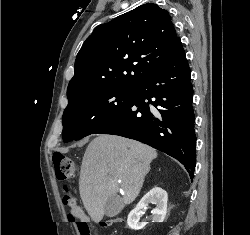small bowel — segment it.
<instances>
[{"mask_svg": "<svg viewBox=\"0 0 250 235\" xmlns=\"http://www.w3.org/2000/svg\"><path fill=\"white\" fill-rule=\"evenodd\" d=\"M71 213L78 218L85 217L83 210L78 205H73L71 207Z\"/></svg>", "mask_w": 250, "mask_h": 235, "instance_id": "1", "label": "small bowel"}]
</instances>
